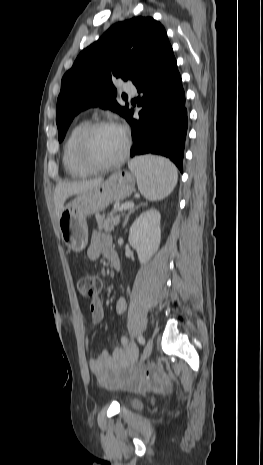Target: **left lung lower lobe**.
<instances>
[{
  "instance_id": "obj_1",
  "label": "left lung lower lobe",
  "mask_w": 263,
  "mask_h": 465,
  "mask_svg": "<svg viewBox=\"0 0 263 465\" xmlns=\"http://www.w3.org/2000/svg\"><path fill=\"white\" fill-rule=\"evenodd\" d=\"M142 106L139 119L126 114L132 127L131 157L153 153L168 157L182 171L187 109L181 76L170 43L164 45L133 82Z\"/></svg>"
}]
</instances>
